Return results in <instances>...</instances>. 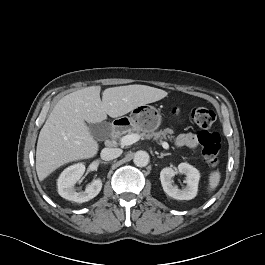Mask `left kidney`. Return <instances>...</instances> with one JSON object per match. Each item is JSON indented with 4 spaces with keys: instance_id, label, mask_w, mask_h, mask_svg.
<instances>
[{
    "instance_id": "left-kidney-1",
    "label": "left kidney",
    "mask_w": 265,
    "mask_h": 265,
    "mask_svg": "<svg viewBox=\"0 0 265 265\" xmlns=\"http://www.w3.org/2000/svg\"><path fill=\"white\" fill-rule=\"evenodd\" d=\"M177 172L186 175L187 186L183 189L173 186L172 177L176 172L173 168L166 167L160 172V180L164 192L177 200H191L196 197L200 179L199 171L188 163H180Z\"/></svg>"
}]
</instances>
